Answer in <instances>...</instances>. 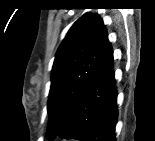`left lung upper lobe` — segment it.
<instances>
[{
  "label": "left lung upper lobe",
  "instance_id": "5c2ea615",
  "mask_svg": "<svg viewBox=\"0 0 155 141\" xmlns=\"http://www.w3.org/2000/svg\"><path fill=\"white\" fill-rule=\"evenodd\" d=\"M106 27L98 14L86 13L70 28L52 67L48 131L59 135L67 117L95 73L106 46Z\"/></svg>",
  "mask_w": 155,
  "mask_h": 141
}]
</instances>
